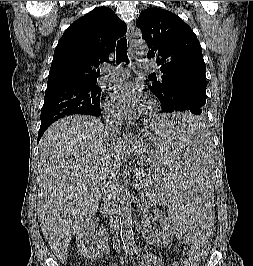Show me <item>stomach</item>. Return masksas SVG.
<instances>
[{
  "mask_svg": "<svg viewBox=\"0 0 253 266\" xmlns=\"http://www.w3.org/2000/svg\"><path fill=\"white\" fill-rule=\"evenodd\" d=\"M155 145H158L157 134L152 137L150 143H145L142 140L135 142L129 146V151L138 159L148 162V160H153L152 151L155 150Z\"/></svg>",
  "mask_w": 253,
  "mask_h": 266,
  "instance_id": "0dacf381",
  "label": "stomach"
}]
</instances>
